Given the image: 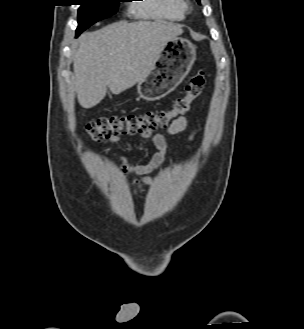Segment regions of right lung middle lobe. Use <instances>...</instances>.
<instances>
[{
  "label": "right lung middle lobe",
  "mask_w": 304,
  "mask_h": 329,
  "mask_svg": "<svg viewBox=\"0 0 304 329\" xmlns=\"http://www.w3.org/2000/svg\"><path fill=\"white\" fill-rule=\"evenodd\" d=\"M78 27L76 37L95 22L115 14L118 3L124 0H78Z\"/></svg>",
  "instance_id": "right-lung-middle-lobe-1"
}]
</instances>
